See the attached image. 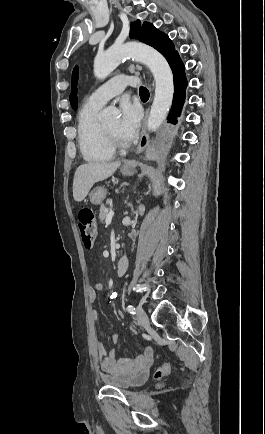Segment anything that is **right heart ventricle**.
<instances>
[{"label": "right heart ventricle", "mask_w": 265, "mask_h": 434, "mask_svg": "<svg viewBox=\"0 0 265 434\" xmlns=\"http://www.w3.org/2000/svg\"><path fill=\"white\" fill-rule=\"evenodd\" d=\"M101 107L100 104L90 103L88 99L81 103L76 115L79 148L89 164L104 163L115 156L104 124L98 119Z\"/></svg>", "instance_id": "right-heart-ventricle-1"}]
</instances>
